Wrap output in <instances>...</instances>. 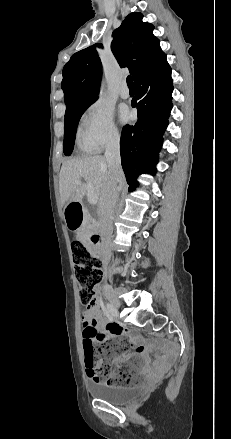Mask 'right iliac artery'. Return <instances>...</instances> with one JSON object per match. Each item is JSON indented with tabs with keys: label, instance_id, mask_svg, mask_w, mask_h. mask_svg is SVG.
I'll return each instance as SVG.
<instances>
[{
	"label": "right iliac artery",
	"instance_id": "82829eb1",
	"mask_svg": "<svg viewBox=\"0 0 231 439\" xmlns=\"http://www.w3.org/2000/svg\"><path fill=\"white\" fill-rule=\"evenodd\" d=\"M106 306H107L108 312L112 315V313L114 312L113 307L110 304H107Z\"/></svg>",
	"mask_w": 231,
	"mask_h": 439
}]
</instances>
